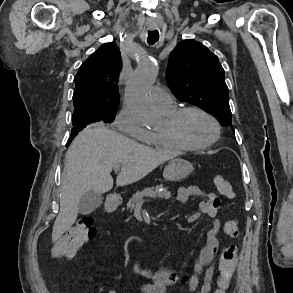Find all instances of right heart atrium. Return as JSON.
Returning a JSON list of instances; mask_svg holds the SVG:
<instances>
[{"mask_svg":"<svg viewBox=\"0 0 293 293\" xmlns=\"http://www.w3.org/2000/svg\"><path fill=\"white\" fill-rule=\"evenodd\" d=\"M114 125L121 132L140 141H147L151 134V131L143 127L126 107L117 114Z\"/></svg>","mask_w":293,"mask_h":293,"instance_id":"right-heart-atrium-1","label":"right heart atrium"}]
</instances>
